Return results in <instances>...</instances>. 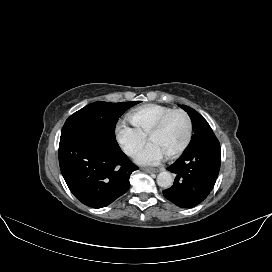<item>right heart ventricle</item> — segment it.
<instances>
[{"mask_svg":"<svg viewBox=\"0 0 272 272\" xmlns=\"http://www.w3.org/2000/svg\"><path fill=\"white\" fill-rule=\"evenodd\" d=\"M171 110L173 108L165 105L146 104L131 110L127 118L136 129L147 135L159 118Z\"/></svg>","mask_w":272,"mask_h":272,"instance_id":"e07e8e85","label":"right heart ventricle"}]
</instances>
